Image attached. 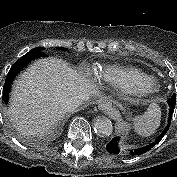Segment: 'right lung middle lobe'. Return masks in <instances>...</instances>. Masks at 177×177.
Here are the masks:
<instances>
[{"label":"right lung middle lobe","mask_w":177,"mask_h":177,"mask_svg":"<svg viewBox=\"0 0 177 177\" xmlns=\"http://www.w3.org/2000/svg\"><path fill=\"white\" fill-rule=\"evenodd\" d=\"M44 49H45L44 47H37V48L32 49L31 51H43Z\"/></svg>","instance_id":"right-lung-middle-lobe-1"}]
</instances>
